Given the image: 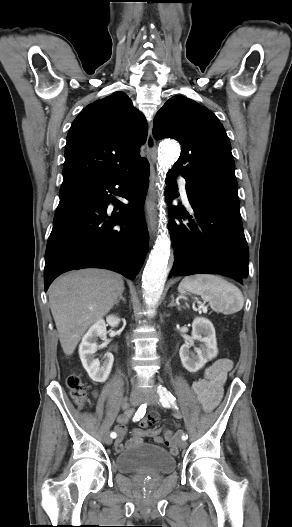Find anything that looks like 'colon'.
<instances>
[{
  "label": "colon",
  "mask_w": 292,
  "mask_h": 527,
  "mask_svg": "<svg viewBox=\"0 0 292 527\" xmlns=\"http://www.w3.org/2000/svg\"><path fill=\"white\" fill-rule=\"evenodd\" d=\"M66 385L74 402L79 406H83L87 400V387L82 381L79 371L75 370L67 377ZM157 420L158 415L156 413H149L140 421V427L144 429L150 428Z\"/></svg>",
  "instance_id": "obj_1"
}]
</instances>
